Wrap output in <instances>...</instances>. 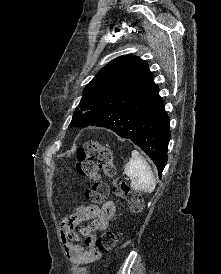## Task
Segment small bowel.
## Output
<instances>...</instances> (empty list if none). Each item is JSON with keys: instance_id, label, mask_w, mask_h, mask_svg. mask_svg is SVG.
I'll use <instances>...</instances> for the list:
<instances>
[{"instance_id": "obj_1", "label": "small bowel", "mask_w": 221, "mask_h": 274, "mask_svg": "<svg viewBox=\"0 0 221 274\" xmlns=\"http://www.w3.org/2000/svg\"><path fill=\"white\" fill-rule=\"evenodd\" d=\"M115 210V204L112 201H106L101 207L97 205L79 206L62 219L61 239L65 253L73 263L85 266L100 258V251L96 248V233L108 227ZM85 221L91 222L89 227L79 228ZM82 241L86 248L79 244Z\"/></svg>"}]
</instances>
